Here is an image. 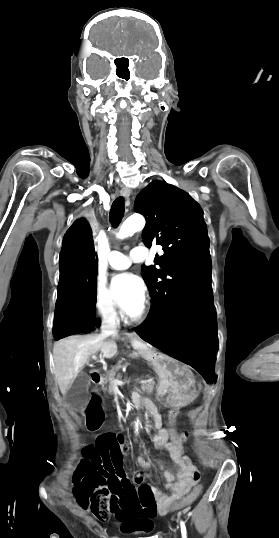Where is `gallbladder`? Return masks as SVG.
I'll return each instance as SVG.
<instances>
[{
  "mask_svg": "<svg viewBox=\"0 0 279 538\" xmlns=\"http://www.w3.org/2000/svg\"><path fill=\"white\" fill-rule=\"evenodd\" d=\"M88 386L89 378L87 374L80 372L66 394L70 400V408L72 410H79L81 408V404L85 405L88 403L89 398L87 395H85Z\"/></svg>",
  "mask_w": 279,
  "mask_h": 538,
  "instance_id": "bac80fb5",
  "label": "gallbladder"
}]
</instances>
